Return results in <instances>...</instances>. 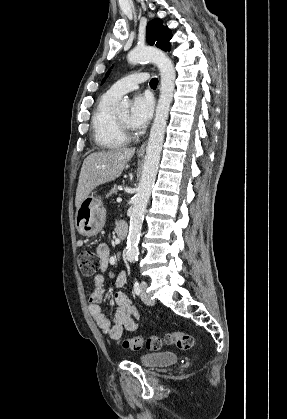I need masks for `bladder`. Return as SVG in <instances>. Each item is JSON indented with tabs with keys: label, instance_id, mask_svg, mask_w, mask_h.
<instances>
[{
	"label": "bladder",
	"instance_id": "1",
	"mask_svg": "<svg viewBox=\"0 0 287 419\" xmlns=\"http://www.w3.org/2000/svg\"><path fill=\"white\" fill-rule=\"evenodd\" d=\"M177 356L169 352L145 354L140 357V363L145 367H162L174 364Z\"/></svg>",
	"mask_w": 287,
	"mask_h": 419
}]
</instances>
